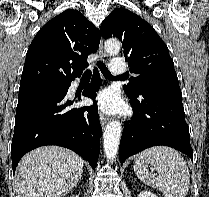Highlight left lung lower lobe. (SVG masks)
Listing matches in <instances>:
<instances>
[{
	"label": "left lung lower lobe",
	"mask_w": 209,
	"mask_h": 197,
	"mask_svg": "<svg viewBox=\"0 0 209 197\" xmlns=\"http://www.w3.org/2000/svg\"><path fill=\"white\" fill-rule=\"evenodd\" d=\"M126 94L131 99L134 115L124 123L120 141L121 164L129 156L157 145L170 146L193 160L180 89L147 88L137 95Z\"/></svg>",
	"instance_id": "1"
}]
</instances>
